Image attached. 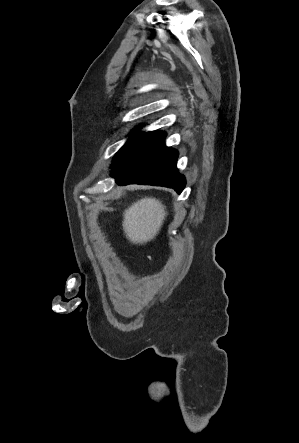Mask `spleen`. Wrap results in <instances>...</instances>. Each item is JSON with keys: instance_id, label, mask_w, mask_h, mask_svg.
Segmentation results:
<instances>
[{"instance_id": "3e777b00", "label": "spleen", "mask_w": 299, "mask_h": 443, "mask_svg": "<svg viewBox=\"0 0 299 443\" xmlns=\"http://www.w3.org/2000/svg\"><path fill=\"white\" fill-rule=\"evenodd\" d=\"M155 199L145 198L134 203L124 213L123 227L132 240L146 241L159 230L166 212Z\"/></svg>"}]
</instances>
